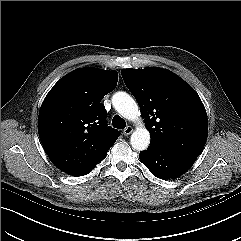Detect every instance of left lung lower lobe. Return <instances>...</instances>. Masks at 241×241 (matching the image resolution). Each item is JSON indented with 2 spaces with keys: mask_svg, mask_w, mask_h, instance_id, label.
Masks as SVG:
<instances>
[{
  "mask_svg": "<svg viewBox=\"0 0 241 241\" xmlns=\"http://www.w3.org/2000/svg\"><path fill=\"white\" fill-rule=\"evenodd\" d=\"M139 157L149 171L160 179L177 178L196 160L194 157L176 155L153 145L140 152Z\"/></svg>",
  "mask_w": 241,
  "mask_h": 241,
  "instance_id": "obj_1",
  "label": "left lung lower lobe"
}]
</instances>
